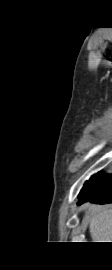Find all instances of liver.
<instances>
[{
	"label": "liver",
	"instance_id": "1",
	"mask_svg": "<svg viewBox=\"0 0 112 270\" xmlns=\"http://www.w3.org/2000/svg\"><path fill=\"white\" fill-rule=\"evenodd\" d=\"M87 214L93 242H112V206H91Z\"/></svg>",
	"mask_w": 112,
	"mask_h": 270
}]
</instances>
